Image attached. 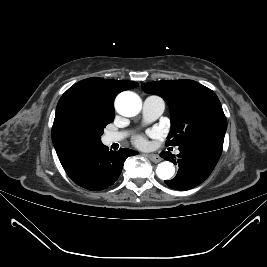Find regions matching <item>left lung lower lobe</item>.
<instances>
[{"mask_svg": "<svg viewBox=\"0 0 267 267\" xmlns=\"http://www.w3.org/2000/svg\"><path fill=\"white\" fill-rule=\"evenodd\" d=\"M178 159L170 152H161L160 156L179 165L175 178L164 181L170 188L189 190L202 183L213 171L221 153L222 146L211 143H194L179 146Z\"/></svg>", "mask_w": 267, "mask_h": 267, "instance_id": "1", "label": "left lung lower lobe"}]
</instances>
